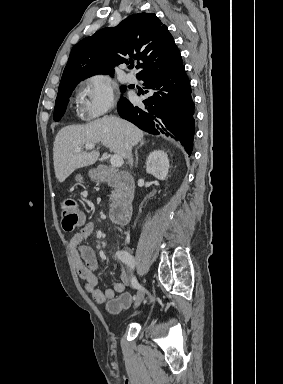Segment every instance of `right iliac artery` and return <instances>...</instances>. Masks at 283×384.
<instances>
[{"instance_id": "82829eb1", "label": "right iliac artery", "mask_w": 283, "mask_h": 384, "mask_svg": "<svg viewBox=\"0 0 283 384\" xmlns=\"http://www.w3.org/2000/svg\"><path fill=\"white\" fill-rule=\"evenodd\" d=\"M118 259H120L122 262H124L128 267L131 269H134V258L133 256L128 253L127 251H117L116 254ZM131 284L133 288L138 289V290H145L137 281L136 277L133 276L131 279ZM151 298V296H150Z\"/></svg>"}]
</instances>
